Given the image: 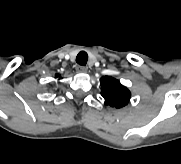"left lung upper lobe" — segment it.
Masks as SVG:
<instances>
[{
    "label": "left lung upper lobe",
    "mask_w": 181,
    "mask_h": 164,
    "mask_svg": "<svg viewBox=\"0 0 181 164\" xmlns=\"http://www.w3.org/2000/svg\"><path fill=\"white\" fill-rule=\"evenodd\" d=\"M100 85L105 104L115 108H121L128 104L131 93L119 80L110 76H103L100 79Z\"/></svg>",
    "instance_id": "1"
}]
</instances>
